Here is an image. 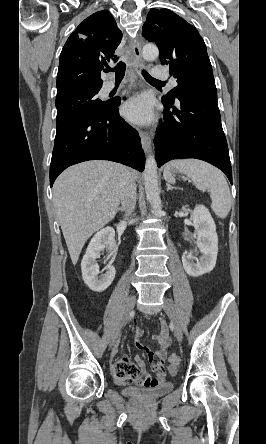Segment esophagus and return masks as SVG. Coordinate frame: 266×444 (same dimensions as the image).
Here are the masks:
<instances>
[{"instance_id": "1", "label": "esophagus", "mask_w": 266, "mask_h": 444, "mask_svg": "<svg viewBox=\"0 0 266 444\" xmlns=\"http://www.w3.org/2000/svg\"><path fill=\"white\" fill-rule=\"evenodd\" d=\"M142 61L141 56V44L139 42L134 43L132 46V64L134 67H138L140 62ZM140 138L142 143V148L145 153H148L151 149V137L145 131H140Z\"/></svg>"}]
</instances>
